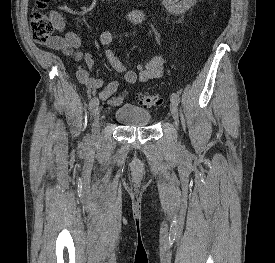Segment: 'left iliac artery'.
Masks as SVG:
<instances>
[{
  "label": "left iliac artery",
  "instance_id": "1",
  "mask_svg": "<svg viewBox=\"0 0 275 263\" xmlns=\"http://www.w3.org/2000/svg\"><path fill=\"white\" fill-rule=\"evenodd\" d=\"M171 102L175 103L176 105L180 103V97L177 93H173L171 95Z\"/></svg>",
  "mask_w": 275,
  "mask_h": 263
}]
</instances>
